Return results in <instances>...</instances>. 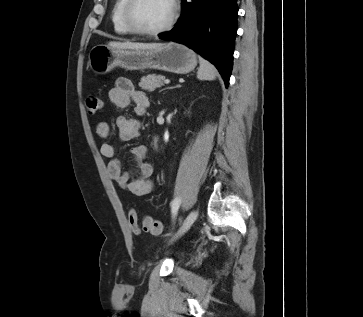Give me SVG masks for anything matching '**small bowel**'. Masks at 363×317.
Here are the masks:
<instances>
[{
  "label": "small bowel",
  "mask_w": 363,
  "mask_h": 317,
  "mask_svg": "<svg viewBox=\"0 0 363 317\" xmlns=\"http://www.w3.org/2000/svg\"><path fill=\"white\" fill-rule=\"evenodd\" d=\"M112 105L123 109L131 103L135 104L138 115L144 114L149 106L146 95L137 91L133 83L127 78L116 80L114 87L108 93ZM117 139L119 142L129 141L139 136L140 123L138 120L129 117L117 119ZM101 138L108 139L112 136V129L107 122H99L96 127ZM101 153L109 158L108 175L124 190L136 196H143L150 193L153 188L151 180L154 167L148 160V148L145 145H136L131 149V155L136 165V171H126L122 161L117 156V144L105 142L101 146Z\"/></svg>",
  "instance_id": "small-bowel-1"
}]
</instances>
